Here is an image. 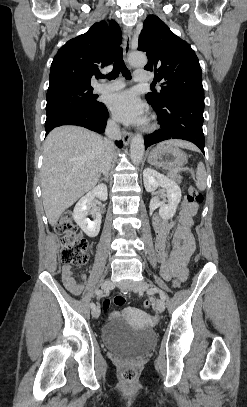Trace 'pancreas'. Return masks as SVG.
<instances>
[{
	"instance_id": "pancreas-1",
	"label": "pancreas",
	"mask_w": 247,
	"mask_h": 407,
	"mask_svg": "<svg viewBox=\"0 0 247 407\" xmlns=\"http://www.w3.org/2000/svg\"><path fill=\"white\" fill-rule=\"evenodd\" d=\"M168 176H169L172 180H174V181H176V182H178V183H181V181H182V176L180 175V173H179L178 171L171 170V171L168 173Z\"/></svg>"
}]
</instances>
